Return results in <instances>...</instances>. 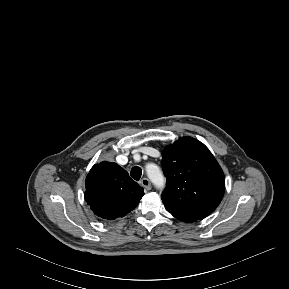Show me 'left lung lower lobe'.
I'll use <instances>...</instances> for the list:
<instances>
[{"mask_svg":"<svg viewBox=\"0 0 289 289\" xmlns=\"http://www.w3.org/2000/svg\"><path fill=\"white\" fill-rule=\"evenodd\" d=\"M175 218L183 221V222H192L198 219H194V218H190V217H185V216H181V215H177V214H172Z\"/></svg>","mask_w":289,"mask_h":289,"instance_id":"1","label":"left lung lower lobe"}]
</instances>
